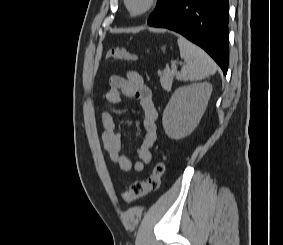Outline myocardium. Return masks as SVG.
I'll return each mask as SVG.
<instances>
[{
	"label": "myocardium",
	"instance_id": "1",
	"mask_svg": "<svg viewBox=\"0 0 283 245\" xmlns=\"http://www.w3.org/2000/svg\"><path fill=\"white\" fill-rule=\"evenodd\" d=\"M124 6L128 14L132 17H141L152 11L158 4V0H147L144 7L138 11H133L130 6V0H123Z\"/></svg>",
	"mask_w": 283,
	"mask_h": 245
}]
</instances>
